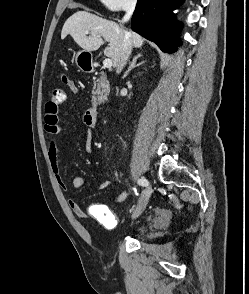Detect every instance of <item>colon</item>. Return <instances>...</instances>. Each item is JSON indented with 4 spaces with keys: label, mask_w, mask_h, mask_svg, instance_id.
I'll return each instance as SVG.
<instances>
[{
    "label": "colon",
    "mask_w": 249,
    "mask_h": 294,
    "mask_svg": "<svg viewBox=\"0 0 249 294\" xmlns=\"http://www.w3.org/2000/svg\"><path fill=\"white\" fill-rule=\"evenodd\" d=\"M65 100V93L61 88H53L50 93V104L56 106L63 103Z\"/></svg>",
    "instance_id": "colon-1"
}]
</instances>
